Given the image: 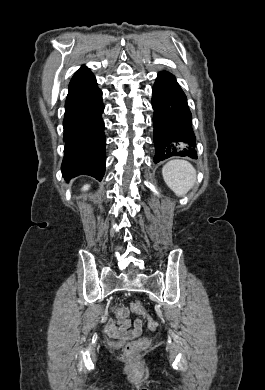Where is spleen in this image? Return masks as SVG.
<instances>
[{"mask_svg":"<svg viewBox=\"0 0 265 390\" xmlns=\"http://www.w3.org/2000/svg\"><path fill=\"white\" fill-rule=\"evenodd\" d=\"M162 175L167 186L177 196L186 194L196 180L195 168L185 160L169 161L164 165Z\"/></svg>","mask_w":265,"mask_h":390,"instance_id":"obj_1","label":"spleen"}]
</instances>
